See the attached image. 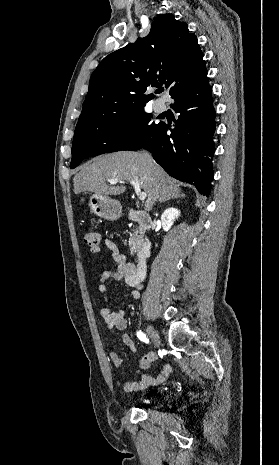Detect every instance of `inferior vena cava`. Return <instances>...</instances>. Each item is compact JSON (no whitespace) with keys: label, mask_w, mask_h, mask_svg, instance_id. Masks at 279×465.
Returning a JSON list of instances; mask_svg holds the SVG:
<instances>
[{"label":"inferior vena cava","mask_w":279,"mask_h":465,"mask_svg":"<svg viewBox=\"0 0 279 465\" xmlns=\"http://www.w3.org/2000/svg\"><path fill=\"white\" fill-rule=\"evenodd\" d=\"M145 158L151 163L153 161L151 155L149 153H144Z\"/></svg>","instance_id":"1"}]
</instances>
